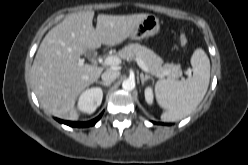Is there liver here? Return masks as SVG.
Listing matches in <instances>:
<instances>
[{"label": "liver", "mask_w": 248, "mask_h": 165, "mask_svg": "<svg viewBox=\"0 0 248 165\" xmlns=\"http://www.w3.org/2000/svg\"><path fill=\"white\" fill-rule=\"evenodd\" d=\"M148 14H99L94 11L68 15L42 40L33 65L31 82L41 107L56 117L75 120L78 95L100 77L103 67L84 64L81 55L100 46L126 40Z\"/></svg>", "instance_id": "obj_1"}]
</instances>
